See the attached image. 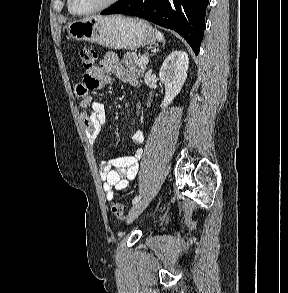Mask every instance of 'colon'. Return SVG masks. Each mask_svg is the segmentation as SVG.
Wrapping results in <instances>:
<instances>
[{"label":"colon","instance_id":"5ec220e1","mask_svg":"<svg viewBox=\"0 0 288 293\" xmlns=\"http://www.w3.org/2000/svg\"><path fill=\"white\" fill-rule=\"evenodd\" d=\"M79 57L85 72L91 71L95 67L98 59L97 53L86 47L79 49ZM110 210L113 216L119 219L124 218L126 215V207L119 202H113L110 206Z\"/></svg>","mask_w":288,"mask_h":293}]
</instances>
